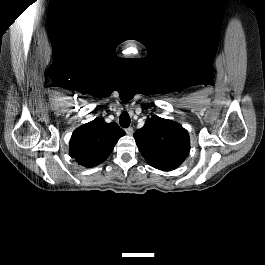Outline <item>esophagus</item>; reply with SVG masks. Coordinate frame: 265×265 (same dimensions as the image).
<instances>
[{
  "instance_id": "1",
  "label": "esophagus",
  "mask_w": 265,
  "mask_h": 265,
  "mask_svg": "<svg viewBox=\"0 0 265 265\" xmlns=\"http://www.w3.org/2000/svg\"><path fill=\"white\" fill-rule=\"evenodd\" d=\"M125 131H126V134L129 135V136L133 134V128L132 127L126 128Z\"/></svg>"
}]
</instances>
